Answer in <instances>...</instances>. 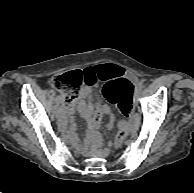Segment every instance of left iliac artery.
<instances>
[{"mask_svg": "<svg viewBox=\"0 0 194 193\" xmlns=\"http://www.w3.org/2000/svg\"><path fill=\"white\" fill-rule=\"evenodd\" d=\"M143 81H144V80H142V81L139 83L140 85H142V87H143Z\"/></svg>", "mask_w": 194, "mask_h": 193, "instance_id": "left-iliac-artery-1", "label": "left iliac artery"}]
</instances>
